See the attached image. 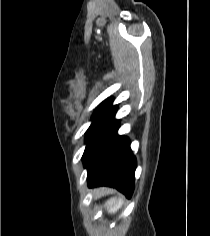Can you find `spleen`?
<instances>
[{"label": "spleen", "instance_id": "3e777b00", "mask_svg": "<svg viewBox=\"0 0 210 236\" xmlns=\"http://www.w3.org/2000/svg\"><path fill=\"white\" fill-rule=\"evenodd\" d=\"M122 204L123 201L121 199H117L115 197L111 198L106 203L108 213L112 214L117 212V210L122 206Z\"/></svg>", "mask_w": 210, "mask_h": 236}]
</instances>
